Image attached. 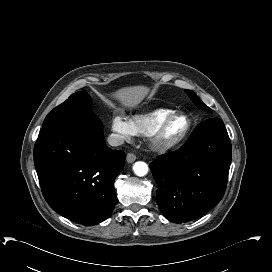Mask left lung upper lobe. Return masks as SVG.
Wrapping results in <instances>:
<instances>
[{"instance_id":"left-lung-upper-lobe-1","label":"left lung upper lobe","mask_w":272,"mask_h":272,"mask_svg":"<svg viewBox=\"0 0 272 272\" xmlns=\"http://www.w3.org/2000/svg\"><path fill=\"white\" fill-rule=\"evenodd\" d=\"M185 91H186V93L189 95V97L191 98V100H192L198 107H200V108H202V109H205V110H207V111L212 112L211 109H210L208 106H206V105L200 100V98H199L193 91H191V90H185Z\"/></svg>"}]
</instances>
